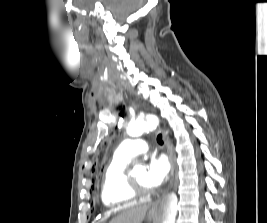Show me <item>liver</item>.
Masks as SVG:
<instances>
[{
    "instance_id": "liver-1",
    "label": "liver",
    "mask_w": 267,
    "mask_h": 223,
    "mask_svg": "<svg viewBox=\"0 0 267 223\" xmlns=\"http://www.w3.org/2000/svg\"><path fill=\"white\" fill-rule=\"evenodd\" d=\"M150 205L143 204L124 210L109 223H142Z\"/></svg>"
}]
</instances>
